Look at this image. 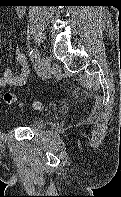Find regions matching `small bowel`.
<instances>
[{"label": "small bowel", "mask_w": 121, "mask_h": 197, "mask_svg": "<svg viewBox=\"0 0 121 197\" xmlns=\"http://www.w3.org/2000/svg\"><path fill=\"white\" fill-rule=\"evenodd\" d=\"M17 14L23 15V9L18 8ZM16 61L19 67V73L13 75L10 69H6L2 75H0V87L6 88L9 86H22L26 84L30 76V68L27 63L25 54L20 48L16 49Z\"/></svg>", "instance_id": "small-bowel-1"}]
</instances>
